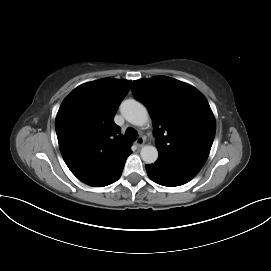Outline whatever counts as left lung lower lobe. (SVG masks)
I'll list each match as a JSON object with an SVG mask.
<instances>
[{
    "mask_svg": "<svg viewBox=\"0 0 271 271\" xmlns=\"http://www.w3.org/2000/svg\"><path fill=\"white\" fill-rule=\"evenodd\" d=\"M202 167L159 155L154 164L146 165L149 178L157 184L174 187L187 183Z\"/></svg>",
    "mask_w": 271,
    "mask_h": 271,
    "instance_id": "1",
    "label": "left lung lower lobe"
}]
</instances>
